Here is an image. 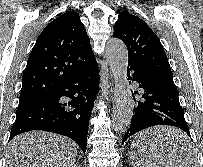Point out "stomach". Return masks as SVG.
Segmentation results:
<instances>
[{
	"mask_svg": "<svg viewBox=\"0 0 203 167\" xmlns=\"http://www.w3.org/2000/svg\"><path fill=\"white\" fill-rule=\"evenodd\" d=\"M137 143H139V144H140V142H139V141H137ZM135 154H139V155L141 156V153H138V152H137V153H135Z\"/></svg>",
	"mask_w": 203,
	"mask_h": 167,
	"instance_id": "0dacf381",
	"label": "stomach"
}]
</instances>
